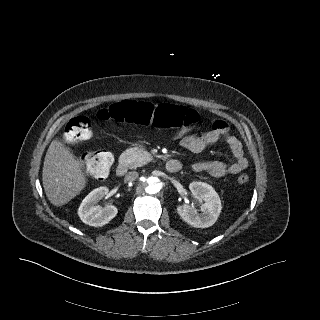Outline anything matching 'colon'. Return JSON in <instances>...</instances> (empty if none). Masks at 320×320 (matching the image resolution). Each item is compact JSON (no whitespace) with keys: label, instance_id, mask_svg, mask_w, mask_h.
<instances>
[{"label":"colon","instance_id":"1","mask_svg":"<svg viewBox=\"0 0 320 320\" xmlns=\"http://www.w3.org/2000/svg\"><path fill=\"white\" fill-rule=\"evenodd\" d=\"M98 117L105 121L131 122L158 128L190 127L199 121L198 113L193 110L170 103L153 105L136 100H125L102 108ZM91 135V121L86 116L73 117L65 126L64 137L70 143L87 141ZM81 162L88 174L105 178L111 170L113 155L107 150L89 152L82 156ZM237 181L245 184L249 176L241 174Z\"/></svg>","mask_w":320,"mask_h":320}]
</instances>
